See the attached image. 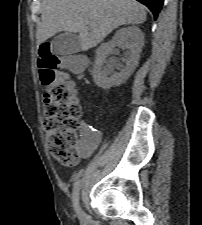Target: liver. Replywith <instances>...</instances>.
<instances>
[{"label": "liver", "instance_id": "6515ba94", "mask_svg": "<svg viewBox=\"0 0 202 225\" xmlns=\"http://www.w3.org/2000/svg\"><path fill=\"white\" fill-rule=\"evenodd\" d=\"M37 45L61 31L79 33L82 51L97 46L121 25L146 20L143 5L136 0H43Z\"/></svg>", "mask_w": 202, "mask_h": 225}]
</instances>
